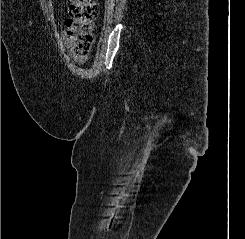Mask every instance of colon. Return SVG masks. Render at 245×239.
<instances>
[{
	"instance_id": "5ec220e1",
	"label": "colon",
	"mask_w": 245,
	"mask_h": 239,
	"mask_svg": "<svg viewBox=\"0 0 245 239\" xmlns=\"http://www.w3.org/2000/svg\"><path fill=\"white\" fill-rule=\"evenodd\" d=\"M69 19L66 21L65 38L74 56L86 57L93 46V28L99 15L96 0H69Z\"/></svg>"
}]
</instances>
